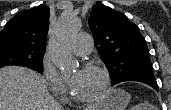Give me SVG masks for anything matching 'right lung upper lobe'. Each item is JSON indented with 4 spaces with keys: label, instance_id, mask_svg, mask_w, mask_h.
<instances>
[{
    "label": "right lung upper lobe",
    "instance_id": "1",
    "mask_svg": "<svg viewBox=\"0 0 171 110\" xmlns=\"http://www.w3.org/2000/svg\"><path fill=\"white\" fill-rule=\"evenodd\" d=\"M49 14L50 9L44 5L19 12L0 32V43L10 42L45 51Z\"/></svg>",
    "mask_w": 171,
    "mask_h": 110
}]
</instances>
